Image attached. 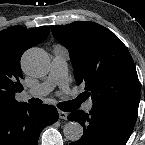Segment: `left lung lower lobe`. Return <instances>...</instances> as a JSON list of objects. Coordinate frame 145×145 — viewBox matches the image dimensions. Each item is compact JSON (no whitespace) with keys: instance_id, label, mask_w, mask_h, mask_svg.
I'll return each instance as SVG.
<instances>
[{"instance_id":"1","label":"left lung lower lobe","mask_w":145,"mask_h":145,"mask_svg":"<svg viewBox=\"0 0 145 145\" xmlns=\"http://www.w3.org/2000/svg\"><path fill=\"white\" fill-rule=\"evenodd\" d=\"M138 113L135 104L93 105L89 113L82 110L69 114L70 121L83 126V136L70 145H125Z\"/></svg>"}]
</instances>
